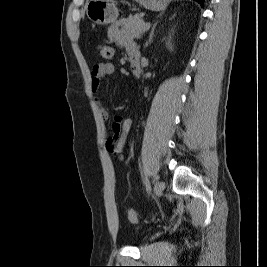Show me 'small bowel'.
<instances>
[{
	"label": "small bowel",
	"mask_w": 267,
	"mask_h": 267,
	"mask_svg": "<svg viewBox=\"0 0 267 267\" xmlns=\"http://www.w3.org/2000/svg\"><path fill=\"white\" fill-rule=\"evenodd\" d=\"M109 41L124 47L129 58L139 57L138 49L133 41L126 37L120 29L119 24L110 26L108 30ZM115 67L111 63H99L95 65L91 71V90L93 94H97L100 88L101 79L105 76L112 75ZM99 114L102 120L109 119L108 111L103 107L100 101H97ZM132 126V120L115 116L112 123L113 135L107 138L105 142L106 149L113 154H121L128 140V135Z\"/></svg>",
	"instance_id": "1"
}]
</instances>
